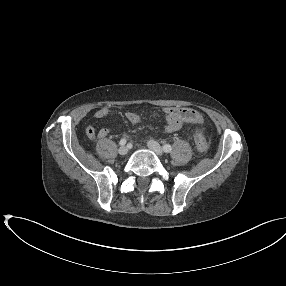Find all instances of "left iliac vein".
<instances>
[{
  "label": "left iliac vein",
  "mask_w": 286,
  "mask_h": 286,
  "mask_svg": "<svg viewBox=\"0 0 286 286\" xmlns=\"http://www.w3.org/2000/svg\"><path fill=\"white\" fill-rule=\"evenodd\" d=\"M148 147L153 150L158 156H162L163 155V150L161 148V146L159 145L158 142L154 141V140H149L147 142Z\"/></svg>",
  "instance_id": "left-iliac-vein-1"
}]
</instances>
